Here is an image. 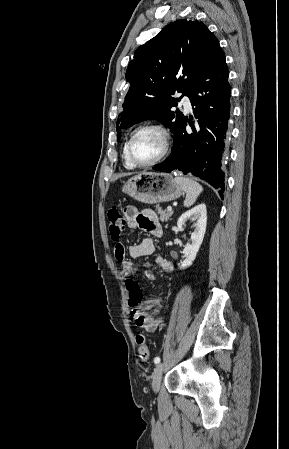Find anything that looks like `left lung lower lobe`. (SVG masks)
Returning a JSON list of instances; mask_svg holds the SVG:
<instances>
[{
	"label": "left lung lower lobe",
	"mask_w": 289,
	"mask_h": 449,
	"mask_svg": "<svg viewBox=\"0 0 289 449\" xmlns=\"http://www.w3.org/2000/svg\"><path fill=\"white\" fill-rule=\"evenodd\" d=\"M228 68L221 47L207 59L194 81L188 97L196 122L189 119L192 132L188 133L185 117L176 127L170 156L153 167L170 173L181 171L207 181L219 189L223 198L225 188L222 161L227 151L230 120L231 88Z\"/></svg>",
	"instance_id": "left-lung-lower-lobe-1"
}]
</instances>
